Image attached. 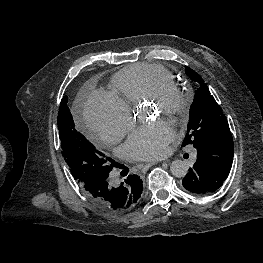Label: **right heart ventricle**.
Segmentation results:
<instances>
[{"label":"right heart ventricle","instance_id":"e07e8e85","mask_svg":"<svg viewBox=\"0 0 263 263\" xmlns=\"http://www.w3.org/2000/svg\"><path fill=\"white\" fill-rule=\"evenodd\" d=\"M174 82L172 73L159 64L138 63L121 69L112 78V95L127 109L135 107L162 83Z\"/></svg>","mask_w":263,"mask_h":263}]
</instances>
